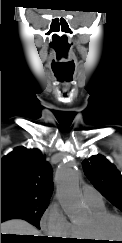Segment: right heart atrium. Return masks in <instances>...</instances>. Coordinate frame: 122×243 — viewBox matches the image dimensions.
Masks as SVG:
<instances>
[{
	"label": "right heart atrium",
	"instance_id": "1",
	"mask_svg": "<svg viewBox=\"0 0 122 243\" xmlns=\"http://www.w3.org/2000/svg\"><path fill=\"white\" fill-rule=\"evenodd\" d=\"M41 228L49 236L67 239L73 235V224L58 203L48 206L41 219Z\"/></svg>",
	"mask_w": 122,
	"mask_h": 243
}]
</instances>
